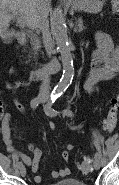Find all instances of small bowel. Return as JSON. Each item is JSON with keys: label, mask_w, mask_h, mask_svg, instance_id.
I'll use <instances>...</instances> for the list:
<instances>
[{"label": "small bowel", "mask_w": 119, "mask_h": 185, "mask_svg": "<svg viewBox=\"0 0 119 185\" xmlns=\"http://www.w3.org/2000/svg\"><path fill=\"white\" fill-rule=\"evenodd\" d=\"M95 40L96 49L92 53L90 72L84 82V88L89 94H95L96 92H98V85L100 83L110 81L119 68V50L114 46L111 37L106 33L98 32L95 34ZM8 74L9 77H14L16 76V70L10 69ZM25 84H27L25 81H15L13 83L7 82L6 87L7 89L14 91L21 85ZM15 105L19 111L23 112L22 106L17 101H15ZM9 118L10 115L8 113H5L3 115L1 122V133L3 141L6 144L8 150L11 152H15L11 140ZM50 128L54 129V124H50ZM27 149L31 152L32 158L20 152L18 153V156L24 161L25 164H27L31 168V171L34 174L35 182L40 183L43 180V177L38 174V168L40 159L42 157V151L34 144H28ZM73 149L74 145H65L62 151V158L64 162H69L70 152ZM70 173V168L65 165L60 170L53 171L52 177L54 179L64 178Z\"/></svg>", "instance_id": "small-bowel-1"}]
</instances>
